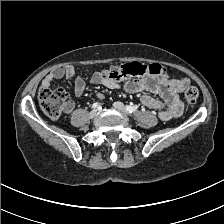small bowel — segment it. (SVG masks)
<instances>
[{
    "label": "small bowel",
    "mask_w": 224,
    "mask_h": 224,
    "mask_svg": "<svg viewBox=\"0 0 224 224\" xmlns=\"http://www.w3.org/2000/svg\"><path fill=\"white\" fill-rule=\"evenodd\" d=\"M74 78L75 93L81 96L85 91V81L81 76L75 75V69L71 65L58 67L48 73L41 83L42 87H50L55 80L62 78ZM93 85H103L109 89H116L120 84L116 81L106 78L101 71L95 72L90 80ZM189 85L187 78H165V77H146L127 81L123 84V88L129 93L148 91L157 94L162 100L156 99L151 95L145 94L141 97V102L146 107L158 111V116L162 120H171L178 118L183 111V102L180 98V93L183 92ZM99 98H103L102 93H98ZM74 108V103L69 102V106L64 110V113H70Z\"/></svg>",
    "instance_id": "c3829d8e"
}]
</instances>
